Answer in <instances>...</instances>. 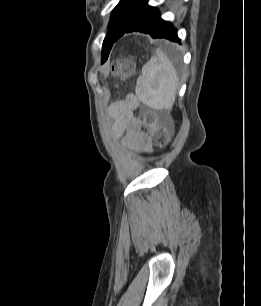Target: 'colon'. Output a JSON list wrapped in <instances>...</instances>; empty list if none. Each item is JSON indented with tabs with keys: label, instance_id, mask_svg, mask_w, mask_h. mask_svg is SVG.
Here are the masks:
<instances>
[{
	"label": "colon",
	"instance_id": "colon-1",
	"mask_svg": "<svg viewBox=\"0 0 261 306\" xmlns=\"http://www.w3.org/2000/svg\"><path fill=\"white\" fill-rule=\"evenodd\" d=\"M133 70V65L130 62L122 61L117 65L116 73L121 75H129ZM149 125L153 126L152 140L158 146H163L167 140V130L164 127H158L156 121L152 118H147Z\"/></svg>",
	"mask_w": 261,
	"mask_h": 306
}]
</instances>
